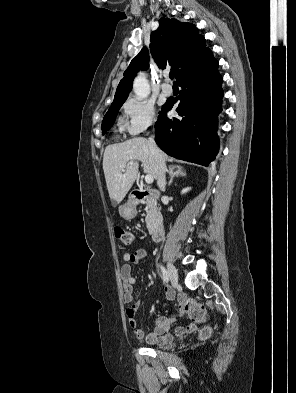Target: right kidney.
<instances>
[{
  "label": "right kidney",
  "instance_id": "1",
  "mask_svg": "<svg viewBox=\"0 0 296 393\" xmlns=\"http://www.w3.org/2000/svg\"><path fill=\"white\" fill-rule=\"evenodd\" d=\"M190 189L191 188L187 187V188L183 189L181 193L184 194V193L188 192Z\"/></svg>",
  "mask_w": 296,
  "mask_h": 393
}]
</instances>
